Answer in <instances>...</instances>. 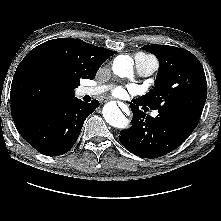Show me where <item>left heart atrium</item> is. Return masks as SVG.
I'll use <instances>...</instances> for the list:
<instances>
[{
    "label": "left heart atrium",
    "instance_id": "obj_1",
    "mask_svg": "<svg viewBox=\"0 0 221 221\" xmlns=\"http://www.w3.org/2000/svg\"><path fill=\"white\" fill-rule=\"evenodd\" d=\"M113 93H114V95L120 97V96L124 95V90L122 88H116Z\"/></svg>",
    "mask_w": 221,
    "mask_h": 221
}]
</instances>
